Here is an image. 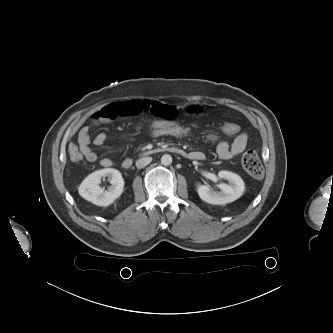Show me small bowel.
I'll return each instance as SVG.
<instances>
[{"label":"small bowel","instance_id":"1","mask_svg":"<svg viewBox=\"0 0 333 333\" xmlns=\"http://www.w3.org/2000/svg\"><path fill=\"white\" fill-rule=\"evenodd\" d=\"M143 113H151L158 118L157 121L170 122L177 121L180 112L171 105H167L155 100L135 99L122 102H113L92 115V124L100 125L102 123L111 122L118 117L137 116ZM107 139L105 133H99L93 139L96 146H102ZM248 142L247 135L241 133L237 135L233 141H221L217 145V154L221 159L229 160L239 156L246 148ZM77 143L79 151L88 162H95L97 154L91 149L89 128L82 127L77 135ZM189 157L193 159H202L203 154L198 151L190 152ZM100 164L104 167H110L113 164L111 158L104 157L100 160Z\"/></svg>","mask_w":333,"mask_h":333}]
</instances>
